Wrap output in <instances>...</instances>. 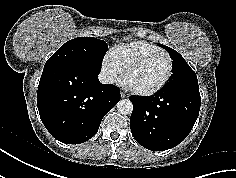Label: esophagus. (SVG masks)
<instances>
[{
	"label": "esophagus",
	"mask_w": 236,
	"mask_h": 178,
	"mask_svg": "<svg viewBox=\"0 0 236 178\" xmlns=\"http://www.w3.org/2000/svg\"><path fill=\"white\" fill-rule=\"evenodd\" d=\"M120 96H121V98H125V97H126V94L121 91V92H120Z\"/></svg>",
	"instance_id": "34e87169"
}]
</instances>
